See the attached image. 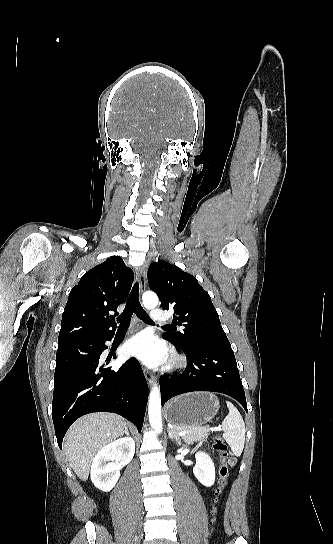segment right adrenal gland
<instances>
[{
	"label": "right adrenal gland",
	"mask_w": 333,
	"mask_h": 544,
	"mask_svg": "<svg viewBox=\"0 0 333 544\" xmlns=\"http://www.w3.org/2000/svg\"><path fill=\"white\" fill-rule=\"evenodd\" d=\"M124 433H125L127 436H129V431H128L127 426H125V428H124Z\"/></svg>",
	"instance_id": "1"
}]
</instances>
